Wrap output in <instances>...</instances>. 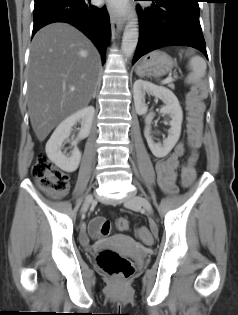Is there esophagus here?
<instances>
[{
    "mask_svg": "<svg viewBox=\"0 0 238 315\" xmlns=\"http://www.w3.org/2000/svg\"><path fill=\"white\" fill-rule=\"evenodd\" d=\"M110 21L114 33L120 32L124 28L125 17L120 16L113 11L110 13Z\"/></svg>",
    "mask_w": 238,
    "mask_h": 315,
    "instance_id": "1",
    "label": "esophagus"
}]
</instances>
